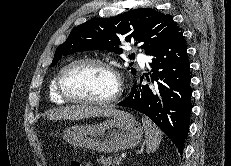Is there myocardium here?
<instances>
[{
  "instance_id": "1",
  "label": "myocardium",
  "mask_w": 231,
  "mask_h": 166,
  "mask_svg": "<svg viewBox=\"0 0 231 166\" xmlns=\"http://www.w3.org/2000/svg\"><path fill=\"white\" fill-rule=\"evenodd\" d=\"M83 64H95L106 68L116 80V89L112 96L106 99L101 100H91V99H82L71 96L63 86V77L65 73L74 66L83 65ZM56 89L59 96L67 102L79 104V105H91V106H110L116 103L121 95L123 90V83L117 69L107 60L94 57H85L73 60L66 64L56 76Z\"/></svg>"
}]
</instances>
